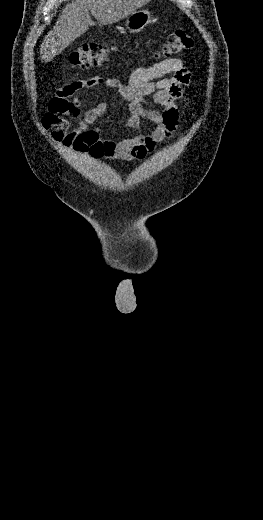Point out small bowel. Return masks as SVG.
Instances as JSON below:
<instances>
[{
    "label": "small bowel",
    "mask_w": 263,
    "mask_h": 520,
    "mask_svg": "<svg viewBox=\"0 0 263 520\" xmlns=\"http://www.w3.org/2000/svg\"><path fill=\"white\" fill-rule=\"evenodd\" d=\"M191 81L190 70L179 58H168L149 67L137 68L126 83L117 78L76 80L56 91L41 123L44 129L51 130L56 142L83 156L127 161L142 159L177 129L181 108L189 104L184 88L189 87ZM100 85L117 90L127 101L129 115L126 125L137 132L136 135L114 141L104 138L98 128L92 127L106 112L107 106L102 103L81 109L77 96L86 89ZM146 102L161 105L163 109L146 108ZM68 118L76 119L78 126L71 128ZM144 119L153 124L147 134L139 132Z\"/></svg>",
    "instance_id": "small-bowel-1"
}]
</instances>
